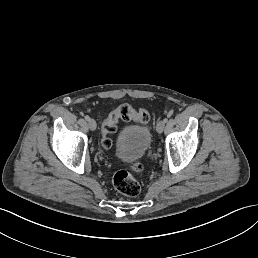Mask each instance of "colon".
I'll return each mask as SVG.
<instances>
[{
	"mask_svg": "<svg viewBox=\"0 0 258 258\" xmlns=\"http://www.w3.org/2000/svg\"><path fill=\"white\" fill-rule=\"evenodd\" d=\"M149 114L145 109H134L130 104L123 103L116 110L111 112L102 125V144L109 149L112 146L110 135L115 133L119 121L147 123ZM142 164L135 163L129 168L121 169L113 177L114 187L121 194L128 197H135L141 191V185L135 174L142 171Z\"/></svg>",
	"mask_w": 258,
	"mask_h": 258,
	"instance_id": "1",
	"label": "colon"
}]
</instances>
